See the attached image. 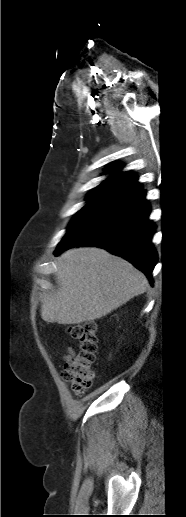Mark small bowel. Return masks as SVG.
Listing matches in <instances>:
<instances>
[{
    "instance_id": "c3829d8e",
    "label": "small bowel",
    "mask_w": 186,
    "mask_h": 517,
    "mask_svg": "<svg viewBox=\"0 0 186 517\" xmlns=\"http://www.w3.org/2000/svg\"><path fill=\"white\" fill-rule=\"evenodd\" d=\"M74 354V350L72 348H68L67 353L62 357V360L67 363Z\"/></svg>"
}]
</instances>
